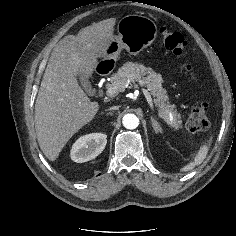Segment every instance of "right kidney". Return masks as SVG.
Masks as SVG:
<instances>
[{
  "label": "right kidney",
  "instance_id": "1",
  "mask_svg": "<svg viewBox=\"0 0 236 236\" xmlns=\"http://www.w3.org/2000/svg\"><path fill=\"white\" fill-rule=\"evenodd\" d=\"M107 136L101 133H92L80 137L72 146L71 159L77 163L87 162L96 158L105 148Z\"/></svg>",
  "mask_w": 236,
  "mask_h": 236
}]
</instances>
